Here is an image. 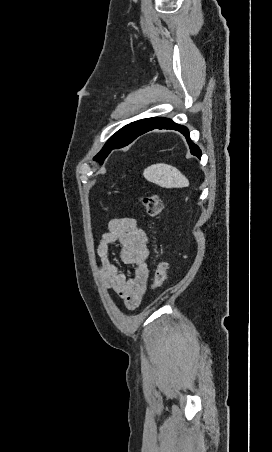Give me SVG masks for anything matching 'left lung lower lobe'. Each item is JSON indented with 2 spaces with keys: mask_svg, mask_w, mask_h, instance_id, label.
Masks as SVG:
<instances>
[{
  "mask_svg": "<svg viewBox=\"0 0 272 452\" xmlns=\"http://www.w3.org/2000/svg\"><path fill=\"white\" fill-rule=\"evenodd\" d=\"M154 129H173V130L179 131L186 137L187 142L190 147L191 154L197 156L198 158H201V151H200L199 147L197 145H195L192 142V140L190 139L188 129L182 125L174 123L172 120L167 119V118H156L148 128L139 132L137 135L133 136L130 139H124L123 137L117 139L110 146V152L112 151V149L122 148V147L130 144L138 136H140L148 131L154 130Z\"/></svg>",
  "mask_w": 272,
  "mask_h": 452,
  "instance_id": "0a47b994",
  "label": "left lung lower lobe"
}]
</instances>
